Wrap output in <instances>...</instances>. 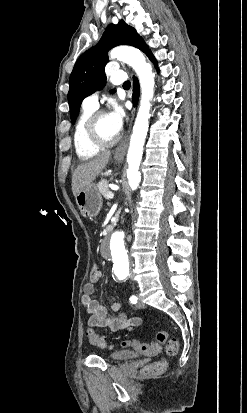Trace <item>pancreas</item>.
Here are the masks:
<instances>
[{
	"mask_svg": "<svg viewBox=\"0 0 247 413\" xmlns=\"http://www.w3.org/2000/svg\"><path fill=\"white\" fill-rule=\"evenodd\" d=\"M108 182L109 180H107V178H101V180H99L97 186L99 188V192H101V194H103L104 198H108L107 194L109 192V186H108Z\"/></svg>",
	"mask_w": 247,
	"mask_h": 413,
	"instance_id": "1",
	"label": "pancreas"
}]
</instances>
